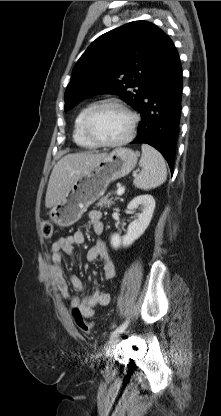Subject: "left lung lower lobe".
Instances as JSON below:
<instances>
[{
	"instance_id": "1",
	"label": "left lung lower lobe",
	"mask_w": 221,
	"mask_h": 416,
	"mask_svg": "<svg viewBox=\"0 0 221 416\" xmlns=\"http://www.w3.org/2000/svg\"><path fill=\"white\" fill-rule=\"evenodd\" d=\"M182 68L167 37L137 111L142 120L131 143H147L165 157L173 171L181 117Z\"/></svg>"
}]
</instances>
